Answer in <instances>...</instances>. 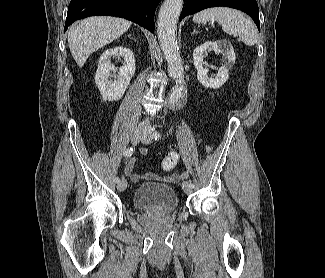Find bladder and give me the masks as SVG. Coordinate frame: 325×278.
Listing matches in <instances>:
<instances>
[{"instance_id": "31cf9c89", "label": "bladder", "mask_w": 325, "mask_h": 278, "mask_svg": "<svg viewBox=\"0 0 325 278\" xmlns=\"http://www.w3.org/2000/svg\"><path fill=\"white\" fill-rule=\"evenodd\" d=\"M135 208L146 212H171L178 208L179 199L174 187L159 182L142 183L133 195Z\"/></svg>"}]
</instances>
